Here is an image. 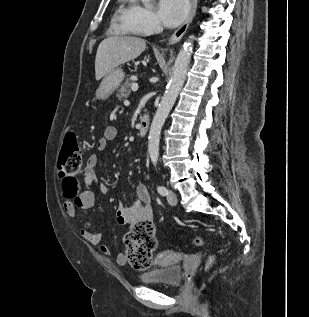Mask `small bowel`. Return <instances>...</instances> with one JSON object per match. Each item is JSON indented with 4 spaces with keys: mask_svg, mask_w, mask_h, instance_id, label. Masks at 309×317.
<instances>
[{
    "mask_svg": "<svg viewBox=\"0 0 309 317\" xmlns=\"http://www.w3.org/2000/svg\"><path fill=\"white\" fill-rule=\"evenodd\" d=\"M117 129L110 125L106 127L103 137L96 144L98 151H104L108 142L117 137ZM98 164L97 154H91L86 160L82 170L83 187L81 188L76 178L67 184H63L64 209L67 215L81 226L80 235L90 244L97 246L101 252L111 256L119 265H124L127 255L123 252H115L103 243L100 232L94 231L90 223H84L79 214L81 210L93 207L95 203V193L93 187L98 185L96 166ZM103 185H101V190ZM117 221L120 224L135 223L137 221L152 222L153 211L151 206V196L145 185H138L136 188V198L129 203L119 204L116 208Z\"/></svg>",
    "mask_w": 309,
    "mask_h": 317,
    "instance_id": "c3829d8e",
    "label": "small bowel"
}]
</instances>
